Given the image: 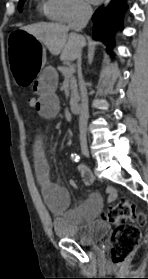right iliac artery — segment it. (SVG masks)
<instances>
[{
  "instance_id": "right-iliac-artery-1",
  "label": "right iliac artery",
  "mask_w": 148,
  "mask_h": 279,
  "mask_svg": "<svg viewBox=\"0 0 148 279\" xmlns=\"http://www.w3.org/2000/svg\"><path fill=\"white\" fill-rule=\"evenodd\" d=\"M71 158H72V160L78 162L79 159H80V156H79L78 154L75 153V154H72V155H71Z\"/></svg>"
}]
</instances>
